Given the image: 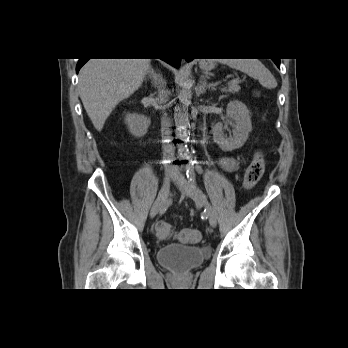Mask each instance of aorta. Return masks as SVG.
Here are the masks:
<instances>
[{"label":"aorta","instance_id":"762f6f07","mask_svg":"<svg viewBox=\"0 0 348 348\" xmlns=\"http://www.w3.org/2000/svg\"><path fill=\"white\" fill-rule=\"evenodd\" d=\"M192 83L188 76H185L180 82V91L178 94L179 104L175 107L174 110V120L176 126V136L181 140V143L178 145V151L186 156L188 154L187 145L185 142L189 139V114L188 106L191 103L192 98Z\"/></svg>","mask_w":348,"mask_h":348}]
</instances>
